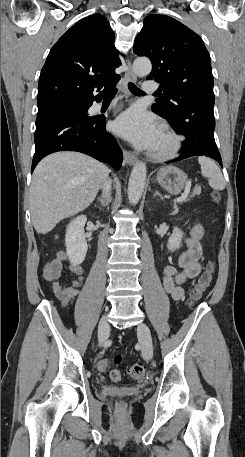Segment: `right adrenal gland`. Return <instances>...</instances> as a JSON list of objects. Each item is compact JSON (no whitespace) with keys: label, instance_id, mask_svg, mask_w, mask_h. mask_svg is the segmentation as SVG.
<instances>
[{"label":"right adrenal gland","instance_id":"2a0ac1e0","mask_svg":"<svg viewBox=\"0 0 245 457\" xmlns=\"http://www.w3.org/2000/svg\"><path fill=\"white\" fill-rule=\"evenodd\" d=\"M98 200L101 206H108L109 202H111V196H108V198H100V196H98Z\"/></svg>","mask_w":245,"mask_h":457}]
</instances>
